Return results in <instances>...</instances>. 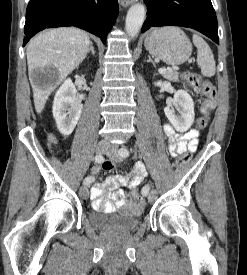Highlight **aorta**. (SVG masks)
Wrapping results in <instances>:
<instances>
[{
  "instance_id": "obj_1",
  "label": "aorta",
  "mask_w": 247,
  "mask_h": 275,
  "mask_svg": "<svg viewBox=\"0 0 247 275\" xmlns=\"http://www.w3.org/2000/svg\"><path fill=\"white\" fill-rule=\"evenodd\" d=\"M146 10L144 5L136 3L130 7L126 16L125 28L131 38H135L145 19Z\"/></svg>"
}]
</instances>
